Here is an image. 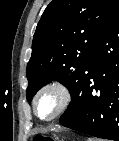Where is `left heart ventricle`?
<instances>
[{
  "label": "left heart ventricle",
  "instance_id": "b2bd125f",
  "mask_svg": "<svg viewBox=\"0 0 119 141\" xmlns=\"http://www.w3.org/2000/svg\"><path fill=\"white\" fill-rule=\"evenodd\" d=\"M58 104V96L54 92H48L42 95L37 103V111L41 117L51 115Z\"/></svg>",
  "mask_w": 119,
  "mask_h": 141
}]
</instances>
